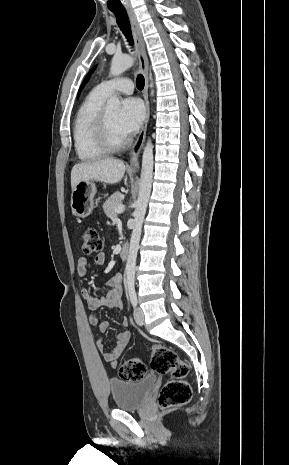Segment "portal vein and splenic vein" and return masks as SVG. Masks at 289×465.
<instances>
[{"label":"portal vein and splenic vein","mask_w":289,"mask_h":465,"mask_svg":"<svg viewBox=\"0 0 289 465\" xmlns=\"http://www.w3.org/2000/svg\"><path fill=\"white\" fill-rule=\"evenodd\" d=\"M124 210H125L124 205H120V206L116 209V212H117L118 214H120V213L124 212Z\"/></svg>","instance_id":"1"}]
</instances>
